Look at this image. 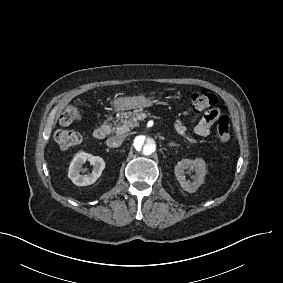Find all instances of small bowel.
<instances>
[{
    "label": "small bowel",
    "instance_id": "1",
    "mask_svg": "<svg viewBox=\"0 0 283 283\" xmlns=\"http://www.w3.org/2000/svg\"><path fill=\"white\" fill-rule=\"evenodd\" d=\"M226 110L227 105L225 103L216 105L210 104L206 109V113L194 127V132L200 137L208 136L210 133L211 125L215 118H221L225 114Z\"/></svg>",
    "mask_w": 283,
    "mask_h": 283
}]
</instances>
